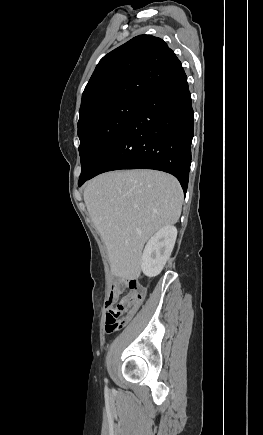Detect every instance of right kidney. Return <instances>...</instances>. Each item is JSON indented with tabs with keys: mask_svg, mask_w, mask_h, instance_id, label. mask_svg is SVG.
<instances>
[{
	"mask_svg": "<svg viewBox=\"0 0 263 435\" xmlns=\"http://www.w3.org/2000/svg\"><path fill=\"white\" fill-rule=\"evenodd\" d=\"M176 237V227L167 225L149 239L141 258V269L146 276L155 277L162 271L171 255Z\"/></svg>",
	"mask_w": 263,
	"mask_h": 435,
	"instance_id": "obj_1",
	"label": "right kidney"
}]
</instances>
